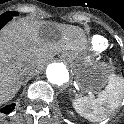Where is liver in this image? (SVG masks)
Instances as JSON below:
<instances>
[{
	"instance_id": "6515ba94",
	"label": "liver",
	"mask_w": 124,
	"mask_h": 124,
	"mask_svg": "<svg viewBox=\"0 0 124 124\" xmlns=\"http://www.w3.org/2000/svg\"><path fill=\"white\" fill-rule=\"evenodd\" d=\"M85 44L84 33L76 26L51 29L26 20L9 25L0 36V105L12 99L24 77L34 72L30 65L40 69L58 51L79 55Z\"/></svg>"
}]
</instances>
